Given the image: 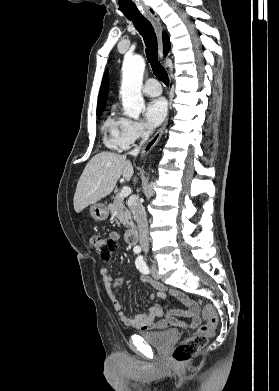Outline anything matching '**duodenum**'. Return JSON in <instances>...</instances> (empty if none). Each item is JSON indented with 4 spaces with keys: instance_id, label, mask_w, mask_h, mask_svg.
<instances>
[{
    "instance_id": "duodenum-1",
    "label": "duodenum",
    "mask_w": 279,
    "mask_h": 391,
    "mask_svg": "<svg viewBox=\"0 0 279 391\" xmlns=\"http://www.w3.org/2000/svg\"><path fill=\"white\" fill-rule=\"evenodd\" d=\"M125 238L129 244L131 245L137 244L139 241V231L137 227L130 228L126 233Z\"/></svg>"
}]
</instances>
